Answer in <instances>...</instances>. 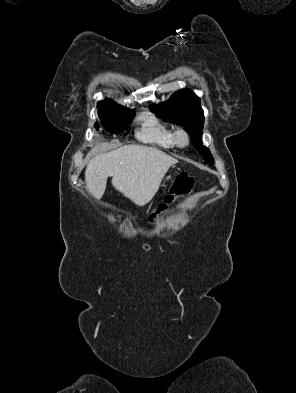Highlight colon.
Returning <instances> with one entry per match:
<instances>
[{"instance_id":"1","label":"colon","mask_w":296,"mask_h":393,"mask_svg":"<svg viewBox=\"0 0 296 393\" xmlns=\"http://www.w3.org/2000/svg\"><path fill=\"white\" fill-rule=\"evenodd\" d=\"M194 180L186 173H180L176 176L170 194L166 197L165 203L161 204L157 210L151 215V221L157 219V217L166 212L169 206L176 202L180 197H185L193 188Z\"/></svg>"}]
</instances>
